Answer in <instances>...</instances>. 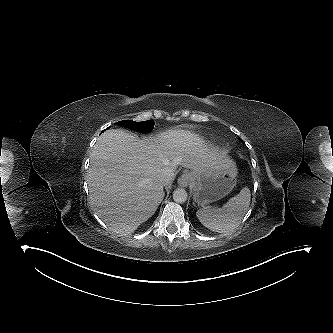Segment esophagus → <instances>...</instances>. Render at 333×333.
Listing matches in <instances>:
<instances>
[{"mask_svg": "<svg viewBox=\"0 0 333 333\" xmlns=\"http://www.w3.org/2000/svg\"><path fill=\"white\" fill-rule=\"evenodd\" d=\"M191 176L189 173L182 174L178 179V184L182 187H186L190 182Z\"/></svg>", "mask_w": 333, "mask_h": 333, "instance_id": "34e87169", "label": "esophagus"}]
</instances>
